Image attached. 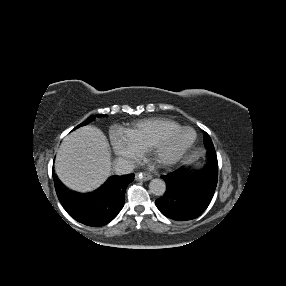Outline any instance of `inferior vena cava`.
Wrapping results in <instances>:
<instances>
[{
  "label": "inferior vena cava",
  "mask_w": 286,
  "mask_h": 286,
  "mask_svg": "<svg viewBox=\"0 0 286 286\" xmlns=\"http://www.w3.org/2000/svg\"><path fill=\"white\" fill-rule=\"evenodd\" d=\"M113 169L118 175L128 174L135 169V163L132 160L117 158L114 161Z\"/></svg>",
  "instance_id": "602c4592"
}]
</instances>
